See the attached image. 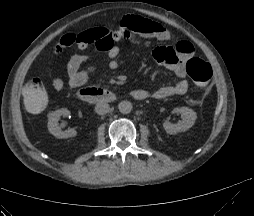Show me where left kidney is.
<instances>
[{"mask_svg": "<svg viewBox=\"0 0 254 216\" xmlns=\"http://www.w3.org/2000/svg\"><path fill=\"white\" fill-rule=\"evenodd\" d=\"M173 112L180 113L183 116V120L178 121L175 124L170 123L168 120L163 123L166 133L170 135L188 130L194 125L197 118L196 112L188 107H177Z\"/></svg>", "mask_w": 254, "mask_h": 216, "instance_id": "1", "label": "left kidney"}]
</instances>
